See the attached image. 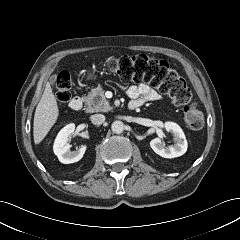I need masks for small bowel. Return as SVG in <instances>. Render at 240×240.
Here are the masks:
<instances>
[{"instance_id": "c3829d8e", "label": "small bowel", "mask_w": 240, "mask_h": 240, "mask_svg": "<svg viewBox=\"0 0 240 240\" xmlns=\"http://www.w3.org/2000/svg\"><path fill=\"white\" fill-rule=\"evenodd\" d=\"M126 93L131 98V102L138 105V108L147 102L158 101L162 98L153 87L146 83L132 85L127 88Z\"/></svg>"}]
</instances>
